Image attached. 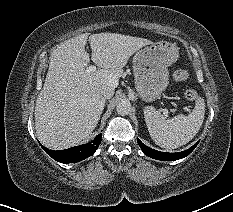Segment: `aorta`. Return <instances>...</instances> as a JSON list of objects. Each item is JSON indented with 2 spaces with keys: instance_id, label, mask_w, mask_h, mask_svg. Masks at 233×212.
<instances>
[{
  "instance_id": "1",
  "label": "aorta",
  "mask_w": 233,
  "mask_h": 212,
  "mask_svg": "<svg viewBox=\"0 0 233 212\" xmlns=\"http://www.w3.org/2000/svg\"><path fill=\"white\" fill-rule=\"evenodd\" d=\"M116 111L119 115H128L131 111V104L127 100L119 102L116 106Z\"/></svg>"
}]
</instances>
